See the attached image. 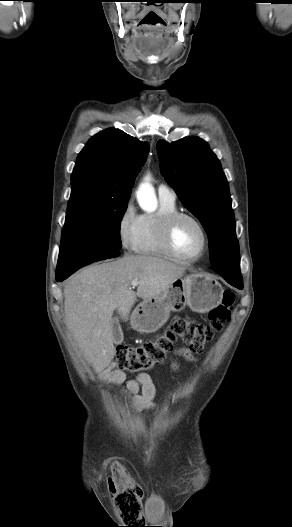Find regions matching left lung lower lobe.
<instances>
[{
  "label": "left lung lower lobe",
  "instance_id": "0a47b994",
  "mask_svg": "<svg viewBox=\"0 0 292 527\" xmlns=\"http://www.w3.org/2000/svg\"><path fill=\"white\" fill-rule=\"evenodd\" d=\"M212 269L219 273L232 286L238 289L243 288L240 265L222 264L214 266Z\"/></svg>",
  "mask_w": 292,
  "mask_h": 527
}]
</instances>
